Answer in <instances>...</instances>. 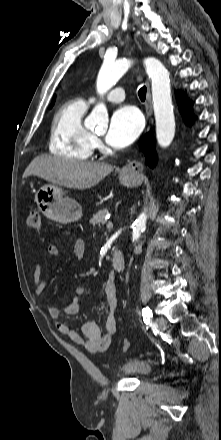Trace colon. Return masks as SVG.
<instances>
[{
	"mask_svg": "<svg viewBox=\"0 0 221 440\" xmlns=\"http://www.w3.org/2000/svg\"><path fill=\"white\" fill-rule=\"evenodd\" d=\"M27 225L31 230L37 233H40L42 231V221L39 211L37 210L30 211L27 217ZM128 347H129V341L127 339H124L122 342V350L125 352L128 349Z\"/></svg>",
	"mask_w": 221,
	"mask_h": 440,
	"instance_id": "obj_1",
	"label": "colon"
}]
</instances>
